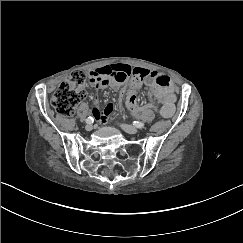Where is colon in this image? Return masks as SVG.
<instances>
[{
	"instance_id": "obj_1",
	"label": "colon",
	"mask_w": 243,
	"mask_h": 243,
	"mask_svg": "<svg viewBox=\"0 0 243 243\" xmlns=\"http://www.w3.org/2000/svg\"><path fill=\"white\" fill-rule=\"evenodd\" d=\"M143 79V72L133 73L128 88L122 91L125 105L133 114L154 109L152 106H140L137 103L135 93ZM85 82V73L75 71L59 85L51 98V106L59 115L69 117L74 113L77 104L86 97Z\"/></svg>"
}]
</instances>
